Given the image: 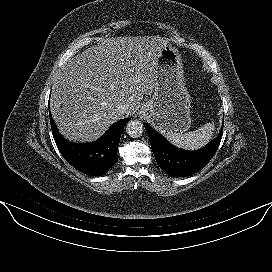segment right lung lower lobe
<instances>
[{"label":"right lung lower lobe","mask_w":272,"mask_h":272,"mask_svg":"<svg viewBox=\"0 0 272 272\" xmlns=\"http://www.w3.org/2000/svg\"><path fill=\"white\" fill-rule=\"evenodd\" d=\"M49 115L55 143L65 160L75 169L87 175L101 176L117 162L120 137L130 118L114 123L97 141L76 144L60 135L50 112Z\"/></svg>","instance_id":"98d812e1"}]
</instances>
